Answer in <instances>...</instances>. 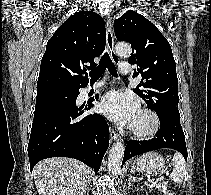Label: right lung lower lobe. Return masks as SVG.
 I'll list each match as a JSON object with an SVG mask.
<instances>
[{
	"label": "right lung lower lobe",
	"instance_id": "right-lung-lower-lobe-1",
	"mask_svg": "<svg viewBox=\"0 0 211 195\" xmlns=\"http://www.w3.org/2000/svg\"><path fill=\"white\" fill-rule=\"evenodd\" d=\"M67 86L37 96L28 156L30 170L42 159L75 158L95 172L109 145V127L100 114L84 115L92 101L76 107L79 89ZM99 95L95 96L98 99Z\"/></svg>",
	"mask_w": 211,
	"mask_h": 195
}]
</instances>
